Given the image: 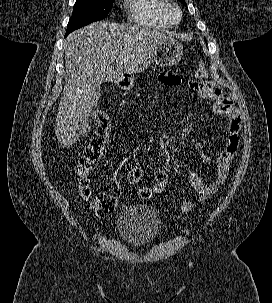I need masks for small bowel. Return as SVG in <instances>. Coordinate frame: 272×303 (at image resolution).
Returning <instances> with one entry per match:
<instances>
[{
	"instance_id": "1",
	"label": "small bowel",
	"mask_w": 272,
	"mask_h": 303,
	"mask_svg": "<svg viewBox=\"0 0 272 303\" xmlns=\"http://www.w3.org/2000/svg\"><path fill=\"white\" fill-rule=\"evenodd\" d=\"M159 81L165 86H176L181 83L182 78L177 74L166 71L160 74ZM190 87L198 93L200 98L214 102L213 112L225 119L223 131L226 139L225 148L216 159V173L210 183H206L196 172H188L189 181L199 197L196 202L182 204L179 209L182 215L191 212L197 205L209 199L225 182L229 173L230 162L238 148L241 129V119L238 111L233 106L232 99L224 94L217 84L210 81H194L190 83ZM195 150L202 161H211V156L204 152L201 142L195 144ZM143 175L144 172L140 167H132L128 171L127 180L131 184H136L143 178Z\"/></svg>"
}]
</instances>
